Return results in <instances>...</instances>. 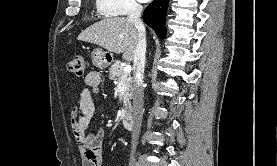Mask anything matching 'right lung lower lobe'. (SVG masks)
Here are the masks:
<instances>
[{"label":"right lung lower lobe","instance_id":"obj_1","mask_svg":"<svg viewBox=\"0 0 277 166\" xmlns=\"http://www.w3.org/2000/svg\"><path fill=\"white\" fill-rule=\"evenodd\" d=\"M167 7L168 0H154L143 13V21L162 39L166 35L164 21Z\"/></svg>","mask_w":277,"mask_h":166}]
</instances>
